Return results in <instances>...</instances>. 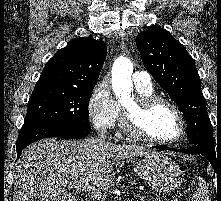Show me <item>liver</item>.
Listing matches in <instances>:
<instances>
[{
  "instance_id": "1",
  "label": "liver",
  "mask_w": 221,
  "mask_h": 201,
  "mask_svg": "<svg viewBox=\"0 0 221 201\" xmlns=\"http://www.w3.org/2000/svg\"><path fill=\"white\" fill-rule=\"evenodd\" d=\"M156 152L101 138L37 141L17 162L13 201H76V184L106 187L115 179L114 161ZM68 188V189H67Z\"/></svg>"
}]
</instances>
